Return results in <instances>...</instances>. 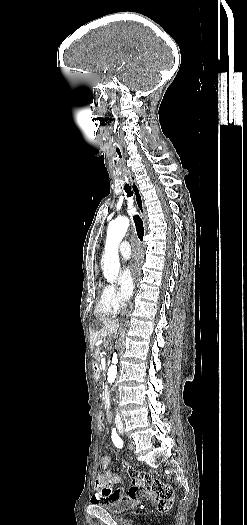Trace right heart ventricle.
Returning <instances> with one entry per match:
<instances>
[{"label":"right heart ventricle","mask_w":247,"mask_h":525,"mask_svg":"<svg viewBox=\"0 0 247 525\" xmlns=\"http://www.w3.org/2000/svg\"><path fill=\"white\" fill-rule=\"evenodd\" d=\"M118 313L119 308H112L102 300H100L95 307V317H116Z\"/></svg>","instance_id":"right-heart-ventricle-1"}]
</instances>
